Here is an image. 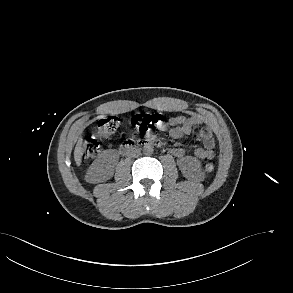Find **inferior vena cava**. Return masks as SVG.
Wrapping results in <instances>:
<instances>
[{"label":"inferior vena cava","mask_w":293,"mask_h":293,"mask_svg":"<svg viewBox=\"0 0 293 293\" xmlns=\"http://www.w3.org/2000/svg\"><path fill=\"white\" fill-rule=\"evenodd\" d=\"M140 154H141V150L139 148L134 147L129 151L128 156L131 158H136L140 156Z\"/></svg>","instance_id":"602c4592"}]
</instances>
